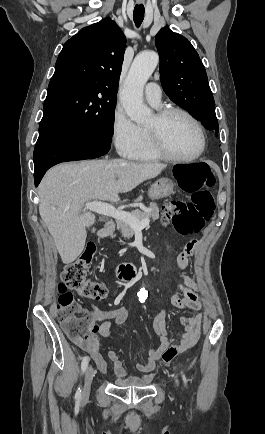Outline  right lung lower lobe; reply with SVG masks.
I'll return each mask as SVG.
<instances>
[{
	"mask_svg": "<svg viewBox=\"0 0 265 434\" xmlns=\"http://www.w3.org/2000/svg\"><path fill=\"white\" fill-rule=\"evenodd\" d=\"M110 144L109 136L80 132L56 120H42L33 157L35 185L50 167L100 157L109 151Z\"/></svg>",
	"mask_w": 265,
	"mask_h": 434,
	"instance_id": "obj_1",
	"label": "right lung lower lobe"
}]
</instances>
